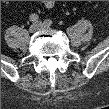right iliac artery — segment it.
<instances>
[{
	"label": "right iliac artery",
	"mask_w": 109,
	"mask_h": 109,
	"mask_svg": "<svg viewBox=\"0 0 109 109\" xmlns=\"http://www.w3.org/2000/svg\"><path fill=\"white\" fill-rule=\"evenodd\" d=\"M29 19L32 22H37L39 20V16L37 14H31Z\"/></svg>",
	"instance_id": "obj_1"
}]
</instances>
